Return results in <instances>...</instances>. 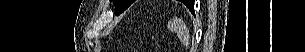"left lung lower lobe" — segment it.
I'll return each instance as SVG.
<instances>
[{
    "label": "left lung lower lobe",
    "instance_id": "obj_1",
    "mask_svg": "<svg viewBox=\"0 0 305 52\" xmlns=\"http://www.w3.org/2000/svg\"><path fill=\"white\" fill-rule=\"evenodd\" d=\"M188 8L194 13V3L191 1V3L188 5Z\"/></svg>",
    "mask_w": 305,
    "mask_h": 52
}]
</instances>
